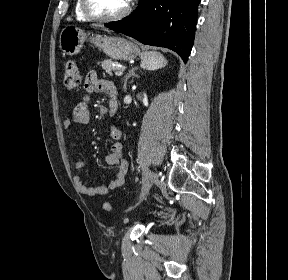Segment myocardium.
Here are the masks:
<instances>
[{
  "instance_id": "obj_1",
  "label": "myocardium",
  "mask_w": 288,
  "mask_h": 280,
  "mask_svg": "<svg viewBox=\"0 0 288 280\" xmlns=\"http://www.w3.org/2000/svg\"><path fill=\"white\" fill-rule=\"evenodd\" d=\"M80 2L83 13L88 18L95 21H102V22L117 21L127 16L130 11V3L128 1L126 7L122 11L114 15H103L97 12L92 6L91 0H80Z\"/></svg>"
}]
</instances>
